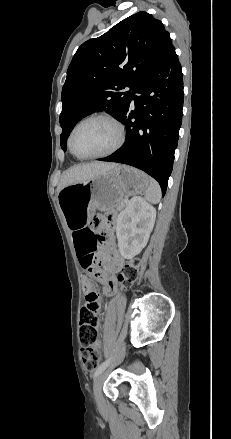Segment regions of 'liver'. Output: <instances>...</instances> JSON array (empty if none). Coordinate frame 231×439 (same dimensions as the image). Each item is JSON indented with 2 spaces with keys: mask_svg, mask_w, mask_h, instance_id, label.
Returning <instances> with one entry per match:
<instances>
[{
  "mask_svg": "<svg viewBox=\"0 0 231 439\" xmlns=\"http://www.w3.org/2000/svg\"><path fill=\"white\" fill-rule=\"evenodd\" d=\"M116 165V163L106 162H93L74 165L63 173L57 190L60 192L63 188L69 185L87 181L110 169H113L116 167Z\"/></svg>",
  "mask_w": 231,
  "mask_h": 439,
  "instance_id": "1",
  "label": "liver"
}]
</instances>
